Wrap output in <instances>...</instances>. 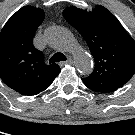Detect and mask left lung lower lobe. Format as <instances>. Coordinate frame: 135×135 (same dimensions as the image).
I'll return each mask as SVG.
<instances>
[{
	"label": "left lung lower lobe",
	"mask_w": 135,
	"mask_h": 135,
	"mask_svg": "<svg viewBox=\"0 0 135 135\" xmlns=\"http://www.w3.org/2000/svg\"><path fill=\"white\" fill-rule=\"evenodd\" d=\"M88 88L91 89V90H93V91L100 92V91H98V90H96L94 88H91V87H88Z\"/></svg>",
	"instance_id": "0a47b994"
}]
</instances>
